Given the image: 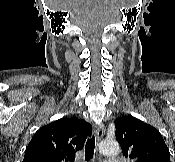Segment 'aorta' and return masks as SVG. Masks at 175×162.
<instances>
[{
	"label": "aorta",
	"mask_w": 175,
	"mask_h": 162,
	"mask_svg": "<svg viewBox=\"0 0 175 162\" xmlns=\"http://www.w3.org/2000/svg\"><path fill=\"white\" fill-rule=\"evenodd\" d=\"M119 144L115 140H104L99 145V151L103 155L113 156L119 153Z\"/></svg>",
	"instance_id": "aorta-1"
}]
</instances>
